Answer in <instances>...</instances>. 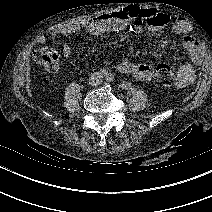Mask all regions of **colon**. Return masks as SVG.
<instances>
[{
  "instance_id": "colon-1",
  "label": "colon",
  "mask_w": 212,
  "mask_h": 212,
  "mask_svg": "<svg viewBox=\"0 0 212 212\" xmlns=\"http://www.w3.org/2000/svg\"><path fill=\"white\" fill-rule=\"evenodd\" d=\"M33 58L47 71L55 72L58 69L59 55L51 49L43 48L36 50L33 54ZM154 81L159 86L172 85L175 81L173 68L166 63H159L155 69Z\"/></svg>"
}]
</instances>
